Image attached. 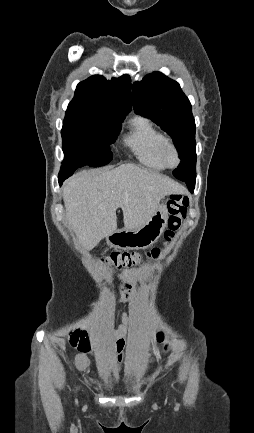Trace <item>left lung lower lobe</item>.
Here are the masks:
<instances>
[{
  "instance_id": "0a47b994",
  "label": "left lung lower lobe",
  "mask_w": 254,
  "mask_h": 433,
  "mask_svg": "<svg viewBox=\"0 0 254 433\" xmlns=\"http://www.w3.org/2000/svg\"><path fill=\"white\" fill-rule=\"evenodd\" d=\"M186 185H187L188 189H189L191 192H193V189H194L195 183H192V182H186Z\"/></svg>"
}]
</instances>
